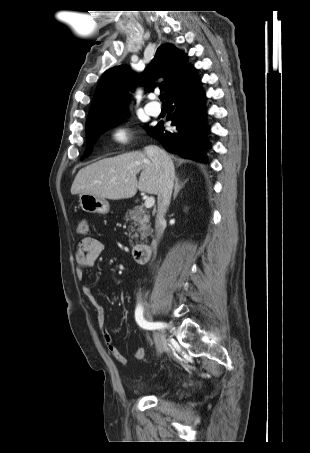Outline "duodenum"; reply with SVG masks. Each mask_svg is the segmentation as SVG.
Wrapping results in <instances>:
<instances>
[{
  "label": "duodenum",
  "mask_w": 310,
  "mask_h": 453,
  "mask_svg": "<svg viewBox=\"0 0 310 453\" xmlns=\"http://www.w3.org/2000/svg\"><path fill=\"white\" fill-rule=\"evenodd\" d=\"M134 259L137 263H146L151 257L152 248L148 244H137L132 250Z\"/></svg>",
  "instance_id": "1"
}]
</instances>
